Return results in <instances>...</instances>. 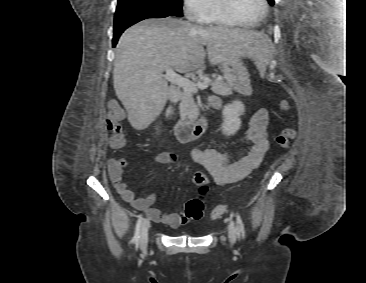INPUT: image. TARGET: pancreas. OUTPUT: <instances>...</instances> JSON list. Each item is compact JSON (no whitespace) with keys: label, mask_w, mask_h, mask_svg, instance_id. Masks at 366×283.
<instances>
[{"label":"pancreas","mask_w":366,"mask_h":283,"mask_svg":"<svg viewBox=\"0 0 366 283\" xmlns=\"http://www.w3.org/2000/svg\"><path fill=\"white\" fill-rule=\"evenodd\" d=\"M205 79H209L208 76H204L203 79H195L197 82H203ZM211 90L213 93L221 96H228L232 94V87L223 81L221 78H216L211 83ZM197 111V105L193 99L191 92L184 91L181 95L180 114L183 117L193 120Z\"/></svg>","instance_id":"1"}]
</instances>
